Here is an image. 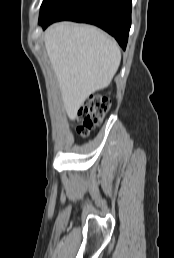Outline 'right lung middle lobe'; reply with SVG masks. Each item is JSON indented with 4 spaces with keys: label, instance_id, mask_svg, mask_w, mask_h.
Listing matches in <instances>:
<instances>
[{
    "label": "right lung middle lobe",
    "instance_id": "obj_1",
    "mask_svg": "<svg viewBox=\"0 0 174 258\" xmlns=\"http://www.w3.org/2000/svg\"><path fill=\"white\" fill-rule=\"evenodd\" d=\"M64 0H43L40 9L39 22H43L49 18L52 12L63 2Z\"/></svg>",
    "mask_w": 174,
    "mask_h": 258
}]
</instances>
